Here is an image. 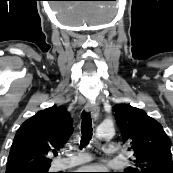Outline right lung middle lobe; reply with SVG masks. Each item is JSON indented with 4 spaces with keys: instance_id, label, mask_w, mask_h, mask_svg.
<instances>
[{
    "instance_id": "dd1d6c3e",
    "label": "right lung middle lobe",
    "mask_w": 173,
    "mask_h": 173,
    "mask_svg": "<svg viewBox=\"0 0 173 173\" xmlns=\"http://www.w3.org/2000/svg\"><path fill=\"white\" fill-rule=\"evenodd\" d=\"M48 169L49 168H47V169H41V170H37V171H32V173H49L48 172Z\"/></svg>"
}]
</instances>
